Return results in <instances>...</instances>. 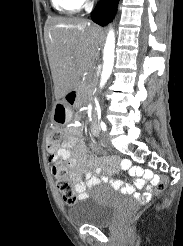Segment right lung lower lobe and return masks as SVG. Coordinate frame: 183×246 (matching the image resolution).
I'll use <instances>...</instances> for the list:
<instances>
[{
    "label": "right lung lower lobe",
    "instance_id": "1",
    "mask_svg": "<svg viewBox=\"0 0 183 246\" xmlns=\"http://www.w3.org/2000/svg\"><path fill=\"white\" fill-rule=\"evenodd\" d=\"M119 0H101L91 14L92 20L101 25L105 26L113 19Z\"/></svg>",
    "mask_w": 183,
    "mask_h": 246
}]
</instances>
